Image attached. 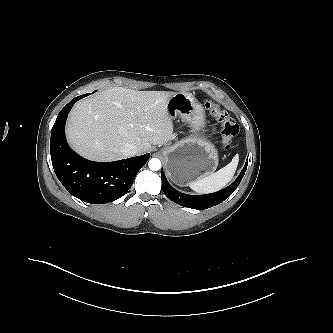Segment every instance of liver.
Listing matches in <instances>:
<instances>
[{"label": "liver", "instance_id": "6515ba94", "mask_svg": "<svg viewBox=\"0 0 333 333\" xmlns=\"http://www.w3.org/2000/svg\"><path fill=\"white\" fill-rule=\"evenodd\" d=\"M174 94L114 87L80 100L69 114L67 139L75 151L91 160H120L124 158L121 147L128 143L143 154L151 144L172 139L167 102Z\"/></svg>", "mask_w": 333, "mask_h": 333}]
</instances>
